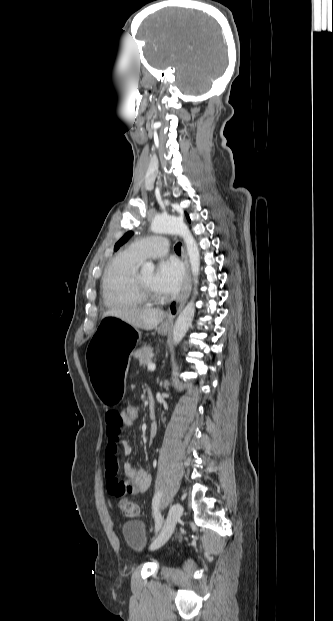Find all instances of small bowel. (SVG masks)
Wrapping results in <instances>:
<instances>
[{
    "label": "small bowel",
    "instance_id": "1",
    "mask_svg": "<svg viewBox=\"0 0 333 621\" xmlns=\"http://www.w3.org/2000/svg\"><path fill=\"white\" fill-rule=\"evenodd\" d=\"M122 411L111 409L106 414V429L108 441L105 448L104 468L106 474V487L112 497L121 498L127 494L137 495L148 490L151 484L150 475L132 463L126 462L123 466L125 479L119 477L120 465L116 457L117 445L120 443L126 456H130L132 448L130 444L121 439L124 429L130 426ZM155 434V427L152 429Z\"/></svg>",
    "mask_w": 333,
    "mask_h": 621
}]
</instances>
